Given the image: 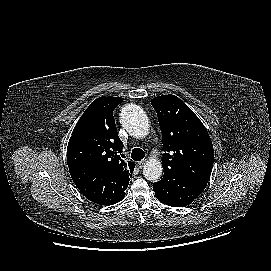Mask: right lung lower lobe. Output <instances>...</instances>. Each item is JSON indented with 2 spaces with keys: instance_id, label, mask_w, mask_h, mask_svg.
<instances>
[{
  "instance_id": "right-lung-lower-lobe-1",
  "label": "right lung lower lobe",
  "mask_w": 271,
  "mask_h": 271,
  "mask_svg": "<svg viewBox=\"0 0 271 271\" xmlns=\"http://www.w3.org/2000/svg\"><path fill=\"white\" fill-rule=\"evenodd\" d=\"M70 175L80 192L90 201L100 205H113L125 196L129 181L112 172L84 165L69 167Z\"/></svg>"
}]
</instances>
